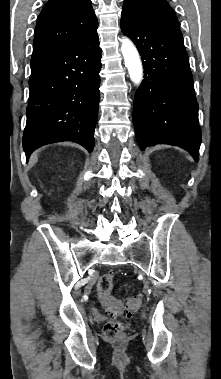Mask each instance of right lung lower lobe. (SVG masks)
Returning <instances> with one entry per match:
<instances>
[{
    "label": "right lung lower lobe",
    "instance_id": "98d812e1",
    "mask_svg": "<svg viewBox=\"0 0 221 379\" xmlns=\"http://www.w3.org/2000/svg\"><path fill=\"white\" fill-rule=\"evenodd\" d=\"M97 28L79 41L31 59L26 158L42 145L74 141L93 150L100 99Z\"/></svg>",
    "mask_w": 221,
    "mask_h": 379
}]
</instances>
